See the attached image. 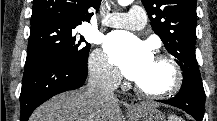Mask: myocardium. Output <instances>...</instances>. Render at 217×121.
<instances>
[{"mask_svg":"<svg viewBox=\"0 0 217 121\" xmlns=\"http://www.w3.org/2000/svg\"><path fill=\"white\" fill-rule=\"evenodd\" d=\"M155 60L165 63L171 72V80L169 84L160 90H148L140 86L137 82L134 83L135 90L143 97L150 99H166L177 94L184 82L183 71L175 58L168 54H158L154 57Z\"/></svg>","mask_w":217,"mask_h":121,"instance_id":"f54148a6","label":"myocardium"}]
</instances>
